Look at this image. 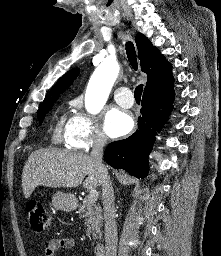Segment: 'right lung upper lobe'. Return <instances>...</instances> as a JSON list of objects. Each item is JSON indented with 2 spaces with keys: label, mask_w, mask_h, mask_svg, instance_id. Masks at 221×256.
<instances>
[{
  "label": "right lung upper lobe",
  "mask_w": 221,
  "mask_h": 256,
  "mask_svg": "<svg viewBox=\"0 0 221 256\" xmlns=\"http://www.w3.org/2000/svg\"><path fill=\"white\" fill-rule=\"evenodd\" d=\"M138 57L143 72L148 76L144 93L161 92L173 87L171 64L168 63L160 51L152 45L147 37L138 33L135 37ZM79 75V69L74 68L63 75L50 90L45 99L60 96Z\"/></svg>",
  "instance_id": "obj_1"
}]
</instances>
